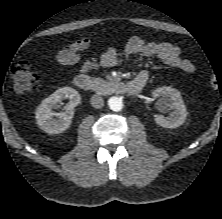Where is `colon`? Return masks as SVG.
Masks as SVG:
<instances>
[{"instance_id": "1", "label": "colon", "mask_w": 222, "mask_h": 219, "mask_svg": "<svg viewBox=\"0 0 222 219\" xmlns=\"http://www.w3.org/2000/svg\"><path fill=\"white\" fill-rule=\"evenodd\" d=\"M12 82L13 90L16 93H24L32 91L37 88L39 75L36 70L33 69L31 64L27 61L19 62L12 69ZM211 84L215 86L217 84L214 78L211 79Z\"/></svg>"}]
</instances>
